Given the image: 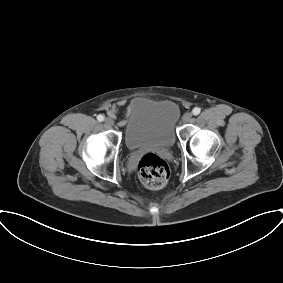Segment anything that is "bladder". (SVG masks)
I'll return each mask as SVG.
<instances>
[{"instance_id":"1","label":"bladder","mask_w":283,"mask_h":283,"mask_svg":"<svg viewBox=\"0 0 283 283\" xmlns=\"http://www.w3.org/2000/svg\"><path fill=\"white\" fill-rule=\"evenodd\" d=\"M180 112L171 100L135 101L128 113L124 142L129 150L145 147L171 148L176 141Z\"/></svg>"}]
</instances>
